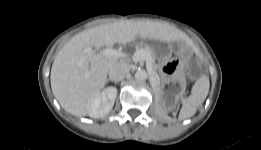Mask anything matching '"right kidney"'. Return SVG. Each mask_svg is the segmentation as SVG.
Wrapping results in <instances>:
<instances>
[{
  "instance_id": "obj_1",
  "label": "right kidney",
  "mask_w": 261,
  "mask_h": 150,
  "mask_svg": "<svg viewBox=\"0 0 261 150\" xmlns=\"http://www.w3.org/2000/svg\"><path fill=\"white\" fill-rule=\"evenodd\" d=\"M117 96L115 87H107L98 93L92 100L88 115L92 118H102L106 116L113 108Z\"/></svg>"
}]
</instances>
